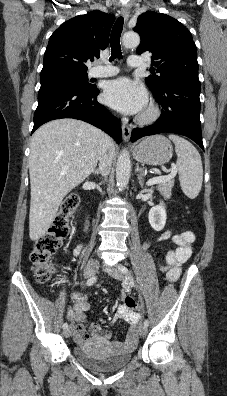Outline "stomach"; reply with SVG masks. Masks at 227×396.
<instances>
[{"instance_id":"obj_1","label":"stomach","mask_w":227,"mask_h":396,"mask_svg":"<svg viewBox=\"0 0 227 396\" xmlns=\"http://www.w3.org/2000/svg\"><path fill=\"white\" fill-rule=\"evenodd\" d=\"M172 155V144L161 135L143 139L133 150V156L138 162L153 166L166 164Z\"/></svg>"}]
</instances>
